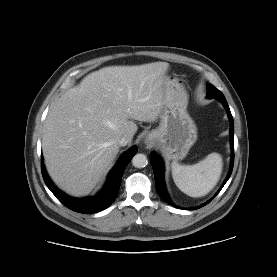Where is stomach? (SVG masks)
Listing matches in <instances>:
<instances>
[{
	"label": "stomach",
	"instance_id": "1",
	"mask_svg": "<svg viewBox=\"0 0 277 277\" xmlns=\"http://www.w3.org/2000/svg\"><path fill=\"white\" fill-rule=\"evenodd\" d=\"M165 82L172 100L161 113L159 126L147 133L146 141L157 145L167 159L177 161L185 158L196 142L197 127L187 112V94L181 80L166 76Z\"/></svg>",
	"mask_w": 277,
	"mask_h": 277
}]
</instances>
